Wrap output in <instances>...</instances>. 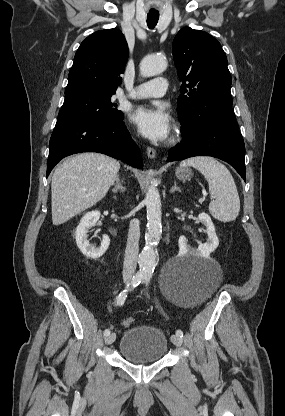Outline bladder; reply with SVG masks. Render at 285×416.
<instances>
[{"instance_id":"1","label":"bladder","mask_w":285,"mask_h":416,"mask_svg":"<svg viewBox=\"0 0 285 416\" xmlns=\"http://www.w3.org/2000/svg\"><path fill=\"white\" fill-rule=\"evenodd\" d=\"M118 349L123 359L133 363H154L162 360L168 349V340L153 325H136L121 336Z\"/></svg>"}]
</instances>
